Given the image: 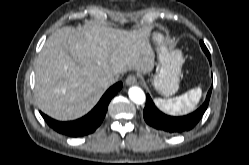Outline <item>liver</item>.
Instances as JSON below:
<instances>
[{
    "mask_svg": "<svg viewBox=\"0 0 249 165\" xmlns=\"http://www.w3.org/2000/svg\"><path fill=\"white\" fill-rule=\"evenodd\" d=\"M150 31L148 27L125 31L97 23L58 29L45 42L35 67L39 109L59 121L75 120L104 94V77L132 69L151 72L155 54Z\"/></svg>",
    "mask_w": 249,
    "mask_h": 165,
    "instance_id": "obj_1",
    "label": "liver"
}]
</instances>
